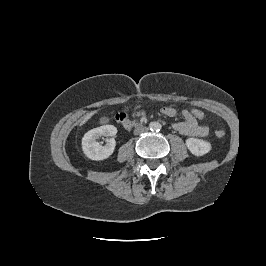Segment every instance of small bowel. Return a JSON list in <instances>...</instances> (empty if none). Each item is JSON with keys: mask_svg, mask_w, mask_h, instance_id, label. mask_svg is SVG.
Segmentation results:
<instances>
[{"mask_svg": "<svg viewBox=\"0 0 266 266\" xmlns=\"http://www.w3.org/2000/svg\"><path fill=\"white\" fill-rule=\"evenodd\" d=\"M142 112L139 111L137 114H141ZM161 113L168 117H175L179 113L184 118V121L175 123L173 128L178 133L185 135V136H198L202 137L208 134L209 128L207 125L199 123L189 112V110H182L179 111L175 107L166 106L161 109Z\"/></svg>", "mask_w": 266, "mask_h": 266, "instance_id": "obj_1", "label": "small bowel"}]
</instances>
